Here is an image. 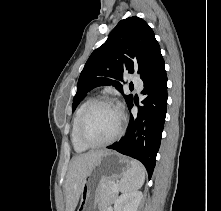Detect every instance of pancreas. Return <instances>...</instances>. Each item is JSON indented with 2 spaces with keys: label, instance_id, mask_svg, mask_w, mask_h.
I'll return each mask as SVG.
<instances>
[{
  "label": "pancreas",
  "instance_id": "pancreas-1",
  "mask_svg": "<svg viewBox=\"0 0 221 211\" xmlns=\"http://www.w3.org/2000/svg\"><path fill=\"white\" fill-rule=\"evenodd\" d=\"M114 181H109L107 183L102 184L99 190V206L100 211H105L106 207L114 202L118 195V190H114L115 186Z\"/></svg>",
  "mask_w": 221,
  "mask_h": 211
}]
</instances>
